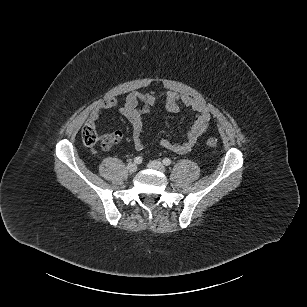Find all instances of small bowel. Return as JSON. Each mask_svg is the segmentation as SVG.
Instances as JSON below:
<instances>
[{"label":"small bowel","instance_id":"small-bowel-1","mask_svg":"<svg viewBox=\"0 0 307 307\" xmlns=\"http://www.w3.org/2000/svg\"><path fill=\"white\" fill-rule=\"evenodd\" d=\"M166 109L171 113H176L183 105L191 109L195 113V120L190 126L187 136L183 141H172L170 139H162L160 144L177 154H185L194 147L198 139L207 131L211 113L205 103L193 99L189 96H179L173 91H167L163 95ZM157 97L151 93L131 92L125 98L119 108V113L125 117L132 127V138L134 148L137 151L144 149L142 134L144 131L143 115L148 113L151 107L156 103ZM118 102L115 98H109L99 103L91 112L88 123L94 124L100 117L102 111L117 106Z\"/></svg>","mask_w":307,"mask_h":307}]
</instances>
